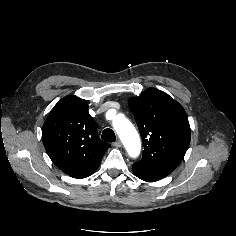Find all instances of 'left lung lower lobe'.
<instances>
[{
	"label": "left lung lower lobe",
	"instance_id": "left-lung-lower-lobe-1",
	"mask_svg": "<svg viewBox=\"0 0 236 236\" xmlns=\"http://www.w3.org/2000/svg\"><path fill=\"white\" fill-rule=\"evenodd\" d=\"M132 169L134 171L135 176H137L138 178H140L144 181H158V180L162 179L161 177H158V176L148 173L146 170H144L138 166L133 165Z\"/></svg>",
	"mask_w": 236,
	"mask_h": 236
}]
</instances>
